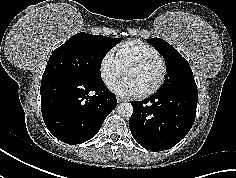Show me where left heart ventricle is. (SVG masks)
<instances>
[{"mask_svg":"<svg viewBox=\"0 0 236 178\" xmlns=\"http://www.w3.org/2000/svg\"><path fill=\"white\" fill-rule=\"evenodd\" d=\"M162 67L159 63H153L146 67L134 68L125 74L138 89L139 93L153 87L160 78Z\"/></svg>","mask_w":236,"mask_h":178,"instance_id":"obj_1","label":"left heart ventricle"}]
</instances>
